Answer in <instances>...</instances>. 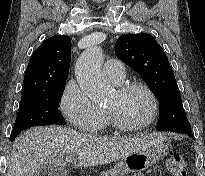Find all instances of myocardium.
<instances>
[{"instance_id": "f54148a6", "label": "myocardium", "mask_w": 205, "mask_h": 176, "mask_svg": "<svg viewBox=\"0 0 205 176\" xmlns=\"http://www.w3.org/2000/svg\"><path fill=\"white\" fill-rule=\"evenodd\" d=\"M136 90H140L148 96V98L151 102V112L146 120H144L138 124H128V123L124 122L114 110L107 109V113H108L109 117L111 118L114 126L118 130L128 131V132L141 130V129H144V128L150 126L157 118L158 111H159L158 99H157L155 93L146 84L141 83V82L126 83V84L121 85L118 88L117 93L119 95H126V94L133 92V91H136Z\"/></svg>"}]
</instances>
